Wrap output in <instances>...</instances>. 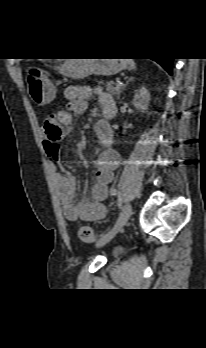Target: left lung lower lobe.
Wrapping results in <instances>:
<instances>
[{"mask_svg": "<svg viewBox=\"0 0 206 348\" xmlns=\"http://www.w3.org/2000/svg\"><path fill=\"white\" fill-rule=\"evenodd\" d=\"M154 60L159 63L170 75H172L173 58H160Z\"/></svg>", "mask_w": 206, "mask_h": 348, "instance_id": "1", "label": "left lung lower lobe"}]
</instances>
